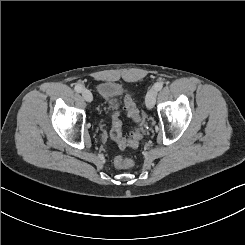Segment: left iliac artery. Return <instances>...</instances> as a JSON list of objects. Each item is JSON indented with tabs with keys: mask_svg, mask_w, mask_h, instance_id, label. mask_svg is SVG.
<instances>
[{
	"mask_svg": "<svg viewBox=\"0 0 245 245\" xmlns=\"http://www.w3.org/2000/svg\"><path fill=\"white\" fill-rule=\"evenodd\" d=\"M154 88H155L157 91L161 90V89L163 88V83H162V82H157V83H155Z\"/></svg>",
	"mask_w": 245,
	"mask_h": 245,
	"instance_id": "44dca946",
	"label": "left iliac artery"
}]
</instances>
